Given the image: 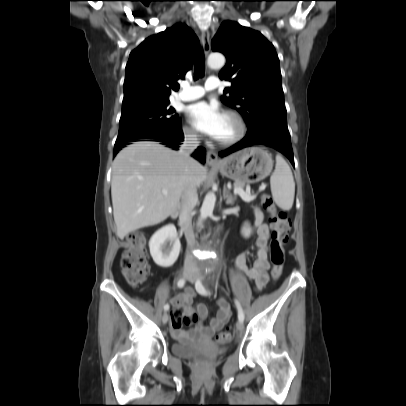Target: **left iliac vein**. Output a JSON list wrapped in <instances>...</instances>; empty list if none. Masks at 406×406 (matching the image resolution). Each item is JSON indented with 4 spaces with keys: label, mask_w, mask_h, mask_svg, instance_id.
Returning <instances> with one entry per match:
<instances>
[{
    "label": "left iliac vein",
    "mask_w": 406,
    "mask_h": 406,
    "mask_svg": "<svg viewBox=\"0 0 406 406\" xmlns=\"http://www.w3.org/2000/svg\"><path fill=\"white\" fill-rule=\"evenodd\" d=\"M200 277H201L200 273H199V272H195V273L193 274V277L190 279V281H191V282H196L197 280H200ZM243 328H244L243 322L238 321V322L236 323V329H237L238 331H242Z\"/></svg>",
    "instance_id": "obj_1"
}]
</instances>
